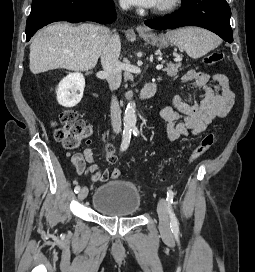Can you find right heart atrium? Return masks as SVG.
<instances>
[{"label": "right heart atrium", "mask_w": 255, "mask_h": 272, "mask_svg": "<svg viewBox=\"0 0 255 272\" xmlns=\"http://www.w3.org/2000/svg\"><path fill=\"white\" fill-rule=\"evenodd\" d=\"M121 5H122V7H127V4L125 3V0H121Z\"/></svg>", "instance_id": "obj_1"}]
</instances>
